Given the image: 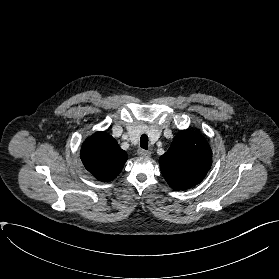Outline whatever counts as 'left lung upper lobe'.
Listing matches in <instances>:
<instances>
[{
	"mask_svg": "<svg viewBox=\"0 0 279 279\" xmlns=\"http://www.w3.org/2000/svg\"><path fill=\"white\" fill-rule=\"evenodd\" d=\"M162 175L171 188L185 190L200 183L212 164L206 140L192 130L180 131L159 159Z\"/></svg>",
	"mask_w": 279,
	"mask_h": 279,
	"instance_id": "obj_1",
	"label": "left lung upper lobe"
}]
</instances>
